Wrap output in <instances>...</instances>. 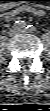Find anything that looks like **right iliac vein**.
I'll return each mask as SVG.
<instances>
[{
    "mask_svg": "<svg viewBox=\"0 0 50 111\" xmlns=\"http://www.w3.org/2000/svg\"><path fill=\"white\" fill-rule=\"evenodd\" d=\"M17 32H18L17 29L12 28V29L9 30L8 35L9 36H14Z\"/></svg>",
    "mask_w": 50,
    "mask_h": 111,
    "instance_id": "1",
    "label": "right iliac vein"
}]
</instances>
